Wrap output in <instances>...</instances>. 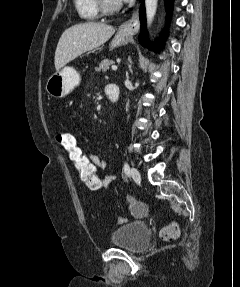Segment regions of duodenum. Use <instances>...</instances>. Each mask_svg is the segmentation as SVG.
Instances as JSON below:
<instances>
[{
	"label": "duodenum",
	"mask_w": 240,
	"mask_h": 287,
	"mask_svg": "<svg viewBox=\"0 0 240 287\" xmlns=\"http://www.w3.org/2000/svg\"><path fill=\"white\" fill-rule=\"evenodd\" d=\"M106 95L110 101L117 102L120 96L119 86L115 83L109 84Z\"/></svg>",
	"instance_id": "duodenum-1"
}]
</instances>
